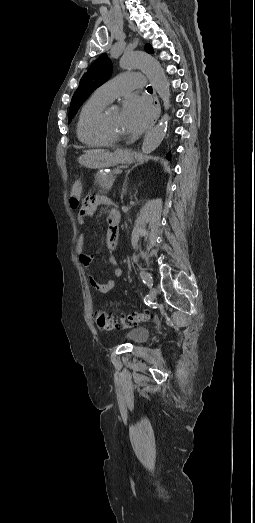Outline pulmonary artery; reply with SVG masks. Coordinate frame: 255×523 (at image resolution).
<instances>
[{"label": "pulmonary artery", "mask_w": 255, "mask_h": 523, "mask_svg": "<svg viewBox=\"0 0 255 523\" xmlns=\"http://www.w3.org/2000/svg\"><path fill=\"white\" fill-rule=\"evenodd\" d=\"M144 82L145 79L143 75L136 74L135 72L122 71L118 77H112L110 82L101 85L98 89L103 95L113 100L120 95L127 97L130 92L140 90Z\"/></svg>", "instance_id": "e3ab8cb5"}]
</instances>
